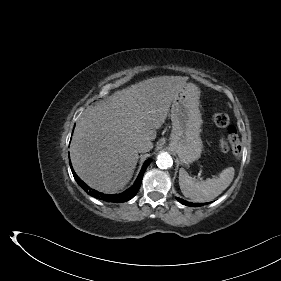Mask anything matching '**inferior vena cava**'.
<instances>
[{
	"label": "inferior vena cava",
	"instance_id": "inferior-vena-cava-1",
	"mask_svg": "<svg viewBox=\"0 0 281 281\" xmlns=\"http://www.w3.org/2000/svg\"><path fill=\"white\" fill-rule=\"evenodd\" d=\"M149 145L150 143L147 142H141L139 144H137V151L138 152H147L149 150Z\"/></svg>",
	"mask_w": 281,
	"mask_h": 281
}]
</instances>
